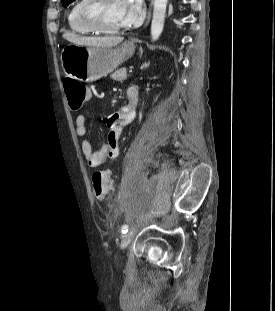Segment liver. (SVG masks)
<instances>
[{"label":"liver","mask_w":275,"mask_h":311,"mask_svg":"<svg viewBox=\"0 0 275 311\" xmlns=\"http://www.w3.org/2000/svg\"><path fill=\"white\" fill-rule=\"evenodd\" d=\"M63 38L78 45L95 47H114L123 41V37H82L71 33H64Z\"/></svg>","instance_id":"liver-1"}]
</instances>
